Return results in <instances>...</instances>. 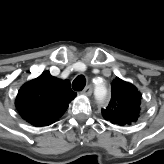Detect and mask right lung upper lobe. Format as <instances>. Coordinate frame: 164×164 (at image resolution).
Instances as JSON below:
<instances>
[{"instance_id":"right-lung-upper-lobe-1","label":"right lung upper lobe","mask_w":164,"mask_h":164,"mask_svg":"<svg viewBox=\"0 0 164 164\" xmlns=\"http://www.w3.org/2000/svg\"><path fill=\"white\" fill-rule=\"evenodd\" d=\"M76 95L68 80L57 79L46 71L21 87L15 105L30 124L47 126L66 111Z\"/></svg>"}]
</instances>
